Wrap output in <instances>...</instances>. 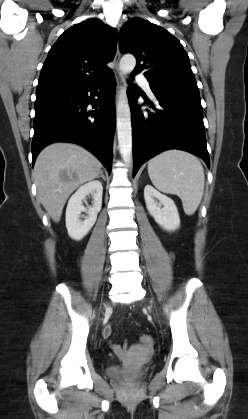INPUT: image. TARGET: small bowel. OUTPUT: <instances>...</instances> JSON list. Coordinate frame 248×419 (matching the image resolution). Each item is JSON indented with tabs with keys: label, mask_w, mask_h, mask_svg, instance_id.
Instances as JSON below:
<instances>
[{
	"label": "small bowel",
	"mask_w": 248,
	"mask_h": 419,
	"mask_svg": "<svg viewBox=\"0 0 248 419\" xmlns=\"http://www.w3.org/2000/svg\"><path fill=\"white\" fill-rule=\"evenodd\" d=\"M111 333H112V329H111V327H107L106 329H105V335L107 336V337H109L110 335H111ZM127 347V343H125L124 344V348H126ZM112 349H113V352L118 356V357H122L123 356V349H122V347L121 346H119V345H117V344H112Z\"/></svg>",
	"instance_id": "obj_1"
}]
</instances>
